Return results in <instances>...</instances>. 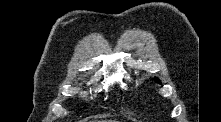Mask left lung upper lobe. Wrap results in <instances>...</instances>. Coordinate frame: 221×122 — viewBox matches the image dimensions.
Instances as JSON below:
<instances>
[{
	"label": "left lung upper lobe",
	"mask_w": 221,
	"mask_h": 122,
	"mask_svg": "<svg viewBox=\"0 0 221 122\" xmlns=\"http://www.w3.org/2000/svg\"><path fill=\"white\" fill-rule=\"evenodd\" d=\"M158 83H161L159 80H158V78H154Z\"/></svg>",
	"instance_id": "5c2ea615"
}]
</instances>
